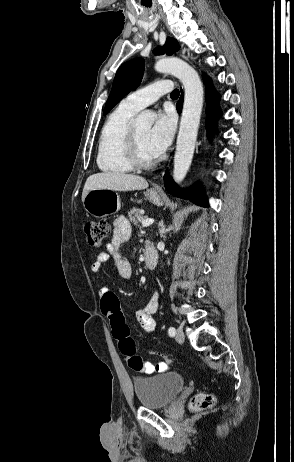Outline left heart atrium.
Wrapping results in <instances>:
<instances>
[{
  "instance_id": "left-heart-atrium-1",
  "label": "left heart atrium",
  "mask_w": 294,
  "mask_h": 462,
  "mask_svg": "<svg viewBox=\"0 0 294 462\" xmlns=\"http://www.w3.org/2000/svg\"><path fill=\"white\" fill-rule=\"evenodd\" d=\"M175 132V117L171 111L156 114L155 122L148 134V146L158 157L170 145ZM154 156V157H155Z\"/></svg>"
}]
</instances>
